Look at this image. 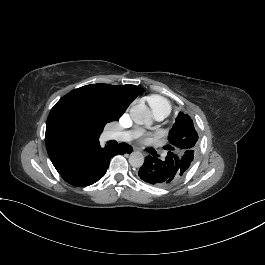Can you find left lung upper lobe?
<instances>
[{
    "label": "left lung upper lobe",
    "instance_id": "obj_1",
    "mask_svg": "<svg viewBox=\"0 0 265 265\" xmlns=\"http://www.w3.org/2000/svg\"><path fill=\"white\" fill-rule=\"evenodd\" d=\"M169 144L165 146L172 155H177L183 164L184 175L189 170L198 149V134L189 115L180 112L169 132Z\"/></svg>",
    "mask_w": 265,
    "mask_h": 265
}]
</instances>
